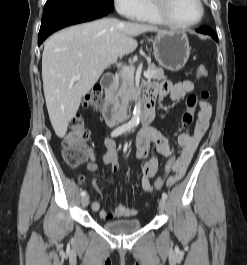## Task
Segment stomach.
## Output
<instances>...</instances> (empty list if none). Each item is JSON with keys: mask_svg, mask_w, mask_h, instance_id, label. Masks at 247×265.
<instances>
[{"mask_svg": "<svg viewBox=\"0 0 247 265\" xmlns=\"http://www.w3.org/2000/svg\"><path fill=\"white\" fill-rule=\"evenodd\" d=\"M152 42L155 59L161 67L179 71L187 63L191 48L184 32L158 33L152 38Z\"/></svg>", "mask_w": 247, "mask_h": 265, "instance_id": "stomach-1", "label": "stomach"}]
</instances>
